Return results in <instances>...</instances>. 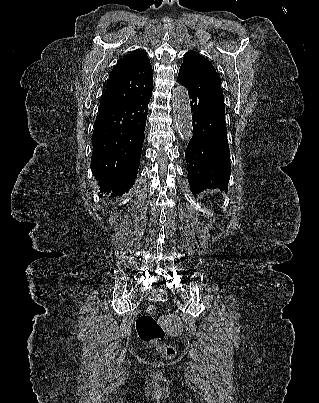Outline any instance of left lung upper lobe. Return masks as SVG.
Wrapping results in <instances>:
<instances>
[{
    "label": "left lung upper lobe",
    "mask_w": 319,
    "mask_h": 403,
    "mask_svg": "<svg viewBox=\"0 0 319 403\" xmlns=\"http://www.w3.org/2000/svg\"><path fill=\"white\" fill-rule=\"evenodd\" d=\"M180 69L186 71L195 79L221 87V79L211 62L195 51L188 52Z\"/></svg>",
    "instance_id": "left-lung-upper-lobe-1"
}]
</instances>
